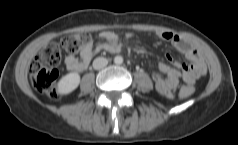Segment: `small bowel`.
Segmentation results:
<instances>
[{
  "instance_id": "obj_1",
  "label": "small bowel",
  "mask_w": 238,
  "mask_h": 145,
  "mask_svg": "<svg viewBox=\"0 0 238 145\" xmlns=\"http://www.w3.org/2000/svg\"><path fill=\"white\" fill-rule=\"evenodd\" d=\"M156 35L164 40L170 42L176 49L184 54L189 62V65L175 59L172 55L167 54L166 58L173 65L181 68L184 72L181 74L177 69L170 67L165 62L158 63L159 73L152 74L156 90L167 98H172L175 90L178 87L180 77L187 83L193 86L196 79L204 75L206 72V65L200 56L197 49H195L188 40L184 37L170 31H158ZM102 41L94 44L89 40L80 50V57L73 54L65 58V64L68 70L75 73H80L87 69L93 57L100 51H107L109 53H118L122 49L121 37L112 31H104L100 34ZM124 38L130 39L133 34L125 33Z\"/></svg>"
}]
</instances>
